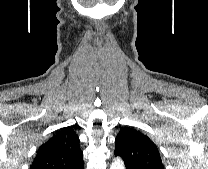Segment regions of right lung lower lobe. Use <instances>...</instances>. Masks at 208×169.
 <instances>
[{
	"instance_id": "1",
	"label": "right lung lower lobe",
	"mask_w": 208,
	"mask_h": 169,
	"mask_svg": "<svg viewBox=\"0 0 208 169\" xmlns=\"http://www.w3.org/2000/svg\"><path fill=\"white\" fill-rule=\"evenodd\" d=\"M73 169H84V163L82 162L81 164L77 165Z\"/></svg>"
}]
</instances>
